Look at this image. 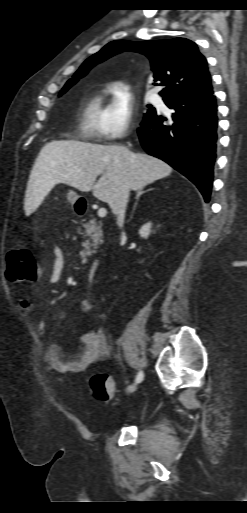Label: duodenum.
Returning <instances> with one entry per match:
<instances>
[{
  "label": "duodenum",
  "mask_w": 247,
  "mask_h": 513,
  "mask_svg": "<svg viewBox=\"0 0 247 513\" xmlns=\"http://www.w3.org/2000/svg\"><path fill=\"white\" fill-rule=\"evenodd\" d=\"M79 209L81 210L82 213H85L87 210L86 204L79 205ZM98 266H99V261L98 260L93 261L91 264V267H90L91 271H95L98 268Z\"/></svg>",
  "instance_id": "410a0bca"
}]
</instances>
